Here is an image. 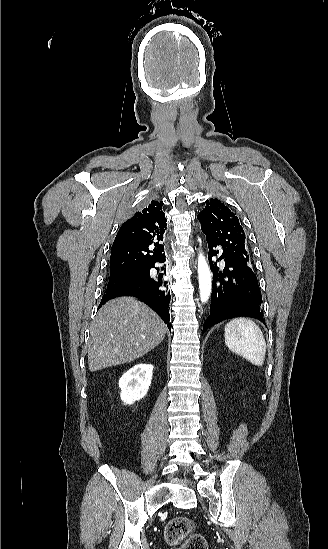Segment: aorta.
I'll use <instances>...</instances> for the list:
<instances>
[{
	"mask_svg": "<svg viewBox=\"0 0 328 549\" xmlns=\"http://www.w3.org/2000/svg\"><path fill=\"white\" fill-rule=\"evenodd\" d=\"M198 281L200 289V299L202 303L208 301L212 290V279L209 266L206 262L205 256L200 253L198 255Z\"/></svg>",
	"mask_w": 328,
	"mask_h": 549,
	"instance_id": "aorta-1",
	"label": "aorta"
}]
</instances>
